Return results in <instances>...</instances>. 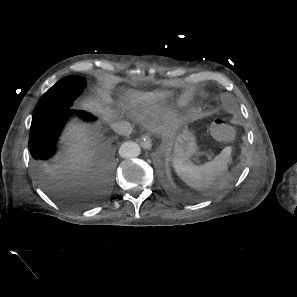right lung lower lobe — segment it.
<instances>
[{"instance_id":"right-lung-lower-lobe-1","label":"right lung lower lobe","mask_w":297,"mask_h":297,"mask_svg":"<svg viewBox=\"0 0 297 297\" xmlns=\"http://www.w3.org/2000/svg\"><path fill=\"white\" fill-rule=\"evenodd\" d=\"M77 98V97H76ZM72 97L65 103L54 108L46 117L32 120L29 136V150L34 160L36 172H47L51 169L55 154L58 151L57 143L60 134L71 117L77 116L85 122L96 121L97 118L82 110L73 109Z\"/></svg>"}]
</instances>
